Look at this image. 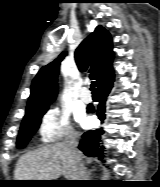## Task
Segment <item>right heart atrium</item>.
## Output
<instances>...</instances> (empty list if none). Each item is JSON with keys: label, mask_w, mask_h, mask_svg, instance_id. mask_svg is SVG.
<instances>
[{"label": "right heart atrium", "mask_w": 160, "mask_h": 187, "mask_svg": "<svg viewBox=\"0 0 160 187\" xmlns=\"http://www.w3.org/2000/svg\"><path fill=\"white\" fill-rule=\"evenodd\" d=\"M38 131L45 143L74 142L77 137L69 113L58 107H52L44 113Z\"/></svg>", "instance_id": "1"}]
</instances>
